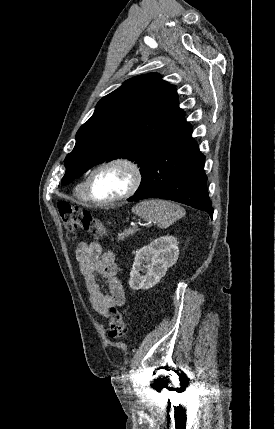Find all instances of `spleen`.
<instances>
[{
    "instance_id": "1",
    "label": "spleen",
    "mask_w": 275,
    "mask_h": 429,
    "mask_svg": "<svg viewBox=\"0 0 275 429\" xmlns=\"http://www.w3.org/2000/svg\"><path fill=\"white\" fill-rule=\"evenodd\" d=\"M132 212L146 221H154L162 229L168 228L185 216L184 208L173 202L159 199L142 201L132 207Z\"/></svg>"
}]
</instances>
